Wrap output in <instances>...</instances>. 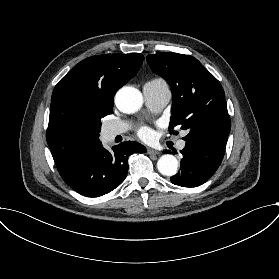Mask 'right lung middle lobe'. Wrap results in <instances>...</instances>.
<instances>
[{
    "mask_svg": "<svg viewBox=\"0 0 279 279\" xmlns=\"http://www.w3.org/2000/svg\"><path fill=\"white\" fill-rule=\"evenodd\" d=\"M112 113H113V104L109 105L105 109L99 110L96 114V117L98 120H101V118L104 117L105 115L112 114Z\"/></svg>",
    "mask_w": 279,
    "mask_h": 279,
    "instance_id": "1",
    "label": "right lung middle lobe"
}]
</instances>
